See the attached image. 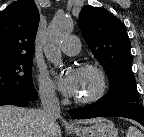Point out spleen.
<instances>
[{
	"label": "spleen",
	"mask_w": 144,
	"mask_h": 137,
	"mask_svg": "<svg viewBox=\"0 0 144 137\" xmlns=\"http://www.w3.org/2000/svg\"><path fill=\"white\" fill-rule=\"evenodd\" d=\"M126 137H143L142 133L134 126L128 128Z\"/></svg>",
	"instance_id": "1"
}]
</instances>
